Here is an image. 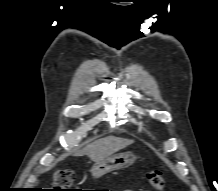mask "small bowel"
<instances>
[{
    "label": "small bowel",
    "instance_id": "c3829d8e",
    "mask_svg": "<svg viewBox=\"0 0 218 191\" xmlns=\"http://www.w3.org/2000/svg\"><path fill=\"white\" fill-rule=\"evenodd\" d=\"M124 191H133V190L127 189V190H124Z\"/></svg>",
    "mask_w": 218,
    "mask_h": 191
}]
</instances>
